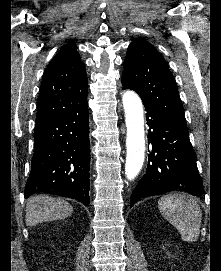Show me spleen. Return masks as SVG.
I'll return each mask as SVG.
<instances>
[{
  "mask_svg": "<svg viewBox=\"0 0 221 271\" xmlns=\"http://www.w3.org/2000/svg\"><path fill=\"white\" fill-rule=\"evenodd\" d=\"M158 207L163 217L180 231L183 241H197L202 219L197 201L183 193H168L160 197Z\"/></svg>",
  "mask_w": 221,
  "mask_h": 271,
  "instance_id": "3e777b00",
  "label": "spleen"
}]
</instances>
